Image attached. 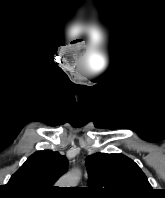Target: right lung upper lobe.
Here are the masks:
<instances>
[{"label": "right lung upper lobe", "instance_id": "cb5924a9", "mask_svg": "<svg viewBox=\"0 0 165 198\" xmlns=\"http://www.w3.org/2000/svg\"><path fill=\"white\" fill-rule=\"evenodd\" d=\"M67 166V158L58 152L38 151L12 175L6 186L22 196L47 197L54 190L52 185L66 172Z\"/></svg>", "mask_w": 165, "mask_h": 198}]
</instances>
